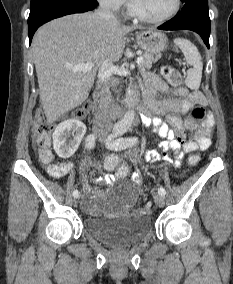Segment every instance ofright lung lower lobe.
Here are the masks:
<instances>
[{
    "label": "right lung lower lobe",
    "mask_w": 233,
    "mask_h": 284,
    "mask_svg": "<svg viewBox=\"0 0 233 284\" xmlns=\"http://www.w3.org/2000/svg\"><path fill=\"white\" fill-rule=\"evenodd\" d=\"M98 5L96 0H61L43 3L30 8L28 18V36L31 43L35 31L44 23L73 13L93 10Z\"/></svg>",
    "instance_id": "obj_1"
}]
</instances>
